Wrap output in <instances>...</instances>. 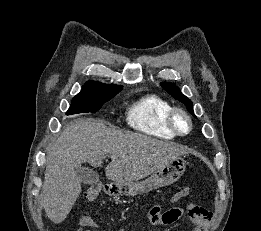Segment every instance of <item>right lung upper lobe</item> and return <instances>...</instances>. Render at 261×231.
I'll return each mask as SVG.
<instances>
[{
  "label": "right lung upper lobe",
  "mask_w": 261,
  "mask_h": 231,
  "mask_svg": "<svg viewBox=\"0 0 261 231\" xmlns=\"http://www.w3.org/2000/svg\"><path fill=\"white\" fill-rule=\"evenodd\" d=\"M121 90L122 86H118L115 84L105 85L99 82L90 81L85 83L81 92L78 95H99L114 93Z\"/></svg>",
  "instance_id": "cb5924a9"
}]
</instances>
